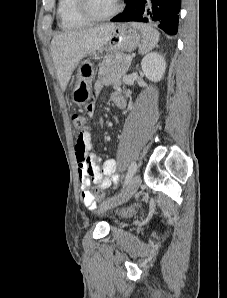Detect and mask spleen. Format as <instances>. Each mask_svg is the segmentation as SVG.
Returning <instances> with one entry per match:
<instances>
[{
  "label": "spleen",
  "instance_id": "1",
  "mask_svg": "<svg viewBox=\"0 0 227 298\" xmlns=\"http://www.w3.org/2000/svg\"><path fill=\"white\" fill-rule=\"evenodd\" d=\"M133 27L137 28L142 34V42L139 46V53L144 55L151 51L158 43L160 33L150 25L133 23Z\"/></svg>",
  "mask_w": 227,
  "mask_h": 298
}]
</instances>
